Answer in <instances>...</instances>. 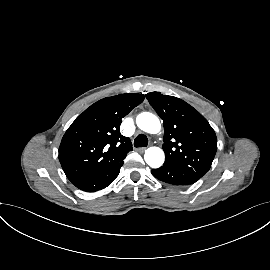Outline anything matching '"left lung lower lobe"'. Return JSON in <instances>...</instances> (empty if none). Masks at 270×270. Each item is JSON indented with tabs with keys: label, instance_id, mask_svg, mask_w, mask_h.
<instances>
[{
	"label": "left lung lower lobe",
	"instance_id": "1",
	"mask_svg": "<svg viewBox=\"0 0 270 270\" xmlns=\"http://www.w3.org/2000/svg\"><path fill=\"white\" fill-rule=\"evenodd\" d=\"M151 173L160 181L179 186L191 185L200 179L183 169L166 165L152 169Z\"/></svg>",
	"mask_w": 270,
	"mask_h": 270
}]
</instances>
